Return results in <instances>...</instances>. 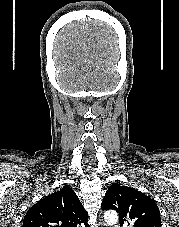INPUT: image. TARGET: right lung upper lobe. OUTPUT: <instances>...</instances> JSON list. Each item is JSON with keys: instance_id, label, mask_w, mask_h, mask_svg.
Returning <instances> with one entry per match:
<instances>
[{"instance_id": "cb5924a9", "label": "right lung upper lobe", "mask_w": 179, "mask_h": 227, "mask_svg": "<svg viewBox=\"0 0 179 227\" xmlns=\"http://www.w3.org/2000/svg\"><path fill=\"white\" fill-rule=\"evenodd\" d=\"M88 212L76 193L64 186L36 204L26 213L22 227H77L87 225Z\"/></svg>"}]
</instances>
